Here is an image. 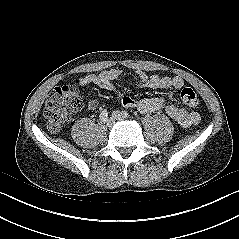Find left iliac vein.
<instances>
[{
	"label": "left iliac vein",
	"instance_id": "obj_1",
	"mask_svg": "<svg viewBox=\"0 0 239 239\" xmlns=\"http://www.w3.org/2000/svg\"><path fill=\"white\" fill-rule=\"evenodd\" d=\"M112 117L115 119V120H118V121H121V120H125L126 117L122 114V112L120 111H113L112 112Z\"/></svg>",
	"mask_w": 239,
	"mask_h": 239
}]
</instances>
